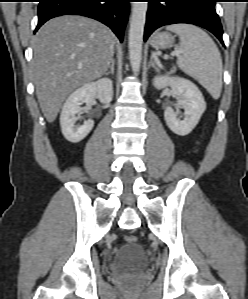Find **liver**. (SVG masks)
<instances>
[{"mask_svg":"<svg viewBox=\"0 0 248 299\" xmlns=\"http://www.w3.org/2000/svg\"><path fill=\"white\" fill-rule=\"evenodd\" d=\"M112 31L93 19L66 15L37 32L31 70L40 108L53 122L67 96L106 73L113 57Z\"/></svg>","mask_w":248,"mask_h":299,"instance_id":"6515ba94","label":"liver"}]
</instances>
